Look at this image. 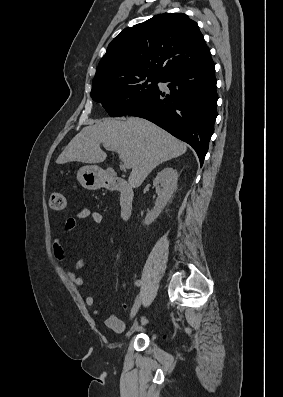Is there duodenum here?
<instances>
[{
    "mask_svg": "<svg viewBox=\"0 0 283 397\" xmlns=\"http://www.w3.org/2000/svg\"><path fill=\"white\" fill-rule=\"evenodd\" d=\"M109 190L118 191L120 215L123 220L130 218L133 212L134 192L131 186L120 177H112L106 182Z\"/></svg>",
    "mask_w": 283,
    "mask_h": 397,
    "instance_id": "410a0bca",
    "label": "duodenum"
}]
</instances>
